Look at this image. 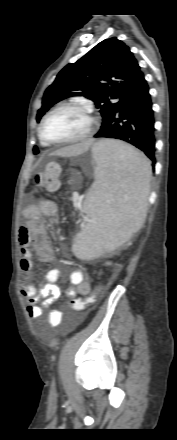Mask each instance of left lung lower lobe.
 I'll list each match as a JSON object with an SVG mask.
<instances>
[{
	"instance_id": "1",
	"label": "left lung lower lobe",
	"mask_w": 177,
	"mask_h": 440,
	"mask_svg": "<svg viewBox=\"0 0 177 440\" xmlns=\"http://www.w3.org/2000/svg\"><path fill=\"white\" fill-rule=\"evenodd\" d=\"M154 114L149 87L143 73L94 137L123 140L139 148L152 161L155 159Z\"/></svg>"
}]
</instances>
